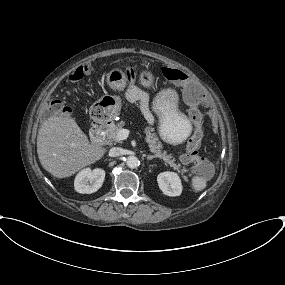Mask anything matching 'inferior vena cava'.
Returning a JSON list of instances; mask_svg holds the SVG:
<instances>
[{
  "mask_svg": "<svg viewBox=\"0 0 285 285\" xmlns=\"http://www.w3.org/2000/svg\"><path fill=\"white\" fill-rule=\"evenodd\" d=\"M124 154V150L120 147H113L109 151V156L118 157Z\"/></svg>",
  "mask_w": 285,
  "mask_h": 285,
  "instance_id": "inferior-vena-cava-1",
  "label": "inferior vena cava"
}]
</instances>
